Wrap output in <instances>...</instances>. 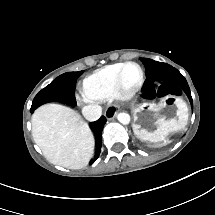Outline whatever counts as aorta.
Returning <instances> with one entry per match:
<instances>
[{"label":"aorta","mask_w":215,"mask_h":215,"mask_svg":"<svg viewBox=\"0 0 215 215\" xmlns=\"http://www.w3.org/2000/svg\"><path fill=\"white\" fill-rule=\"evenodd\" d=\"M117 119L120 123L127 125L130 122V115L127 113H119Z\"/></svg>","instance_id":"aorta-1"}]
</instances>
